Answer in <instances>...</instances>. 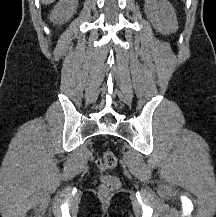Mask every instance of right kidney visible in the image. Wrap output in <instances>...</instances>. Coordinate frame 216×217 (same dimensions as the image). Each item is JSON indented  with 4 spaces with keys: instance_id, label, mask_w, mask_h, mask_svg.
<instances>
[{
    "instance_id": "obj_1",
    "label": "right kidney",
    "mask_w": 216,
    "mask_h": 217,
    "mask_svg": "<svg viewBox=\"0 0 216 217\" xmlns=\"http://www.w3.org/2000/svg\"><path fill=\"white\" fill-rule=\"evenodd\" d=\"M78 5V0H60L51 11L50 20L53 23H64L71 19Z\"/></svg>"
}]
</instances>
